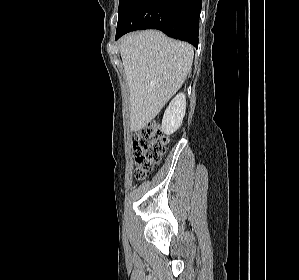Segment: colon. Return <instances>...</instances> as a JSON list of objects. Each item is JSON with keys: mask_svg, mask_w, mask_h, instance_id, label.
Returning <instances> with one entry per match:
<instances>
[{"mask_svg": "<svg viewBox=\"0 0 299 280\" xmlns=\"http://www.w3.org/2000/svg\"><path fill=\"white\" fill-rule=\"evenodd\" d=\"M168 142V137L157 121L150 122L137 132L132 147L135 155V174L138 179H144L160 162Z\"/></svg>", "mask_w": 299, "mask_h": 280, "instance_id": "obj_1", "label": "colon"}]
</instances>
